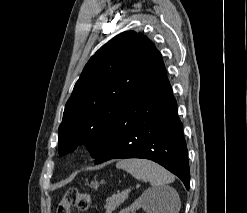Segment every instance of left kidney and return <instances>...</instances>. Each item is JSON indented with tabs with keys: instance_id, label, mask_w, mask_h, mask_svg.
I'll use <instances>...</instances> for the list:
<instances>
[{
	"instance_id": "left-kidney-1",
	"label": "left kidney",
	"mask_w": 247,
	"mask_h": 213,
	"mask_svg": "<svg viewBox=\"0 0 247 213\" xmlns=\"http://www.w3.org/2000/svg\"><path fill=\"white\" fill-rule=\"evenodd\" d=\"M139 208H142L146 213H160L158 193L154 190H146L130 207L120 211V213H134Z\"/></svg>"
}]
</instances>
